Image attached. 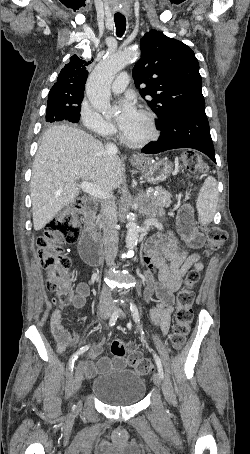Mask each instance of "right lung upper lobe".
Masks as SVG:
<instances>
[{"instance_id": "right-lung-upper-lobe-1", "label": "right lung upper lobe", "mask_w": 250, "mask_h": 454, "mask_svg": "<svg viewBox=\"0 0 250 454\" xmlns=\"http://www.w3.org/2000/svg\"><path fill=\"white\" fill-rule=\"evenodd\" d=\"M91 61L80 59L77 55L70 57V62L64 66L58 75L57 82L49 92V96L74 99L84 96V86L88 71L86 67Z\"/></svg>"}]
</instances>
